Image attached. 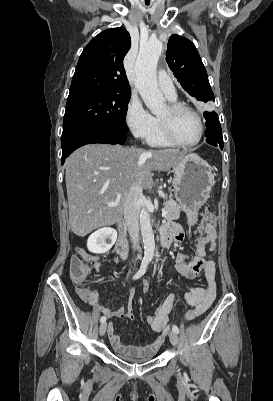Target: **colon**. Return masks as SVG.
Masks as SVG:
<instances>
[{"label":"colon","instance_id":"colon-1","mask_svg":"<svg viewBox=\"0 0 273 401\" xmlns=\"http://www.w3.org/2000/svg\"><path fill=\"white\" fill-rule=\"evenodd\" d=\"M67 268L70 270L71 280L73 281V290L75 293H79L80 297H91L93 286L92 284H78V282H86L87 276H92L94 270L89 267L88 262L84 261L83 257H73L71 261H68ZM194 279V276H191ZM152 289L151 283H145L140 289V292L147 294L148 290Z\"/></svg>","mask_w":273,"mask_h":401}]
</instances>
